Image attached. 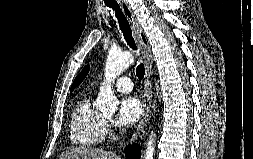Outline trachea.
I'll return each mask as SVG.
<instances>
[{
    "instance_id": "1",
    "label": "trachea",
    "mask_w": 253,
    "mask_h": 159,
    "mask_svg": "<svg viewBox=\"0 0 253 159\" xmlns=\"http://www.w3.org/2000/svg\"><path fill=\"white\" fill-rule=\"evenodd\" d=\"M106 6L115 10L116 17L119 22L120 29L123 33V36L127 42V44L133 49L137 50L134 38L132 36V31L129 25L128 20L126 19L125 15L122 13L119 4L115 0H106ZM136 75L139 80H142L145 75V68L142 63H140L136 68Z\"/></svg>"
}]
</instances>
